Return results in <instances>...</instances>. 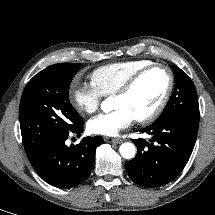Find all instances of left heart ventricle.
Returning a JSON list of instances; mask_svg holds the SVG:
<instances>
[{"mask_svg":"<svg viewBox=\"0 0 215 215\" xmlns=\"http://www.w3.org/2000/svg\"><path fill=\"white\" fill-rule=\"evenodd\" d=\"M168 82L169 78L165 70H152L140 79L129 94L114 97V108L128 109L135 119L145 116L158 105Z\"/></svg>","mask_w":215,"mask_h":215,"instance_id":"left-heart-ventricle-1","label":"left heart ventricle"}]
</instances>
